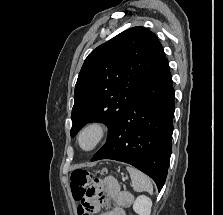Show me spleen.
Here are the masks:
<instances>
[{
	"instance_id": "3e777b00",
	"label": "spleen",
	"mask_w": 223,
	"mask_h": 215,
	"mask_svg": "<svg viewBox=\"0 0 223 215\" xmlns=\"http://www.w3.org/2000/svg\"><path fill=\"white\" fill-rule=\"evenodd\" d=\"M127 171L131 175V181L135 191H149V193H153L152 181L148 175H145L139 169H135V167H127Z\"/></svg>"
}]
</instances>
